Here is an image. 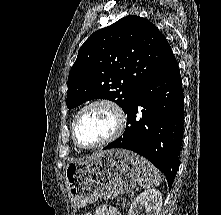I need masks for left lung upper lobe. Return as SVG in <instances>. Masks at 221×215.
Returning <instances> with one entry per match:
<instances>
[{"label":"left lung upper lobe","mask_w":221,"mask_h":215,"mask_svg":"<svg viewBox=\"0 0 221 215\" xmlns=\"http://www.w3.org/2000/svg\"><path fill=\"white\" fill-rule=\"evenodd\" d=\"M170 50L158 28L139 16H126L96 31L80 47L69 72L67 107L100 98L114 101L126 113Z\"/></svg>","instance_id":"5c2ea615"}]
</instances>
